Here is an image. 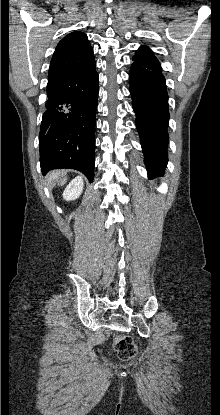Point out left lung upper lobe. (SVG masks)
<instances>
[{"mask_svg": "<svg viewBox=\"0 0 220 415\" xmlns=\"http://www.w3.org/2000/svg\"><path fill=\"white\" fill-rule=\"evenodd\" d=\"M135 56H149V57L156 58L153 52L148 47H145V46H141L139 50H137Z\"/></svg>", "mask_w": 220, "mask_h": 415, "instance_id": "5c2ea615", "label": "left lung upper lobe"}]
</instances>
